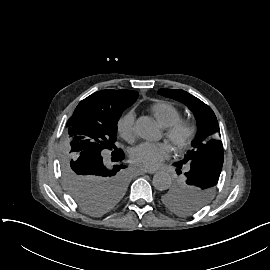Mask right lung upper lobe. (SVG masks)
<instances>
[{"instance_id":"cb5924a9","label":"right lung upper lobe","mask_w":270,"mask_h":270,"mask_svg":"<svg viewBox=\"0 0 270 270\" xmlns=\"http://www.w3.org/2000/svg\"><path fill=\"white\" fill-rule=\"evenodd\" d=\"M100 104L105 107L115 108L119 105L127 106V103L138 97V92L132 90H102L93 94ZM127 108V107H126ZM125 108V109H126ZM124 109V110H125Z\"/></svg>"}]
</instances>
